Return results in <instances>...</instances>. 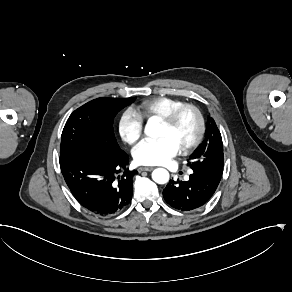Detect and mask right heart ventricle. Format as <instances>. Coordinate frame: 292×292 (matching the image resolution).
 I'll return each mask as SVG.
<instances>
[{
	"label": "right heart ventricle",
	"mask_w": 292,
	"mask_h": 292,
	"mask_svg": "<svg viewBox=\"0 0 292 292\" xmlns=\"http://www.w3.org/2000/svg\"><path fill=\"white\" fill-rule=\"evenodd\" d=\"M184 102L176 97L155 96L143 100L138 106V112L143 119L150 120L153 117L161 118L174 107Z\"/></svg>",
	"instance_id": "e07e8e85"
}]
</instances>
